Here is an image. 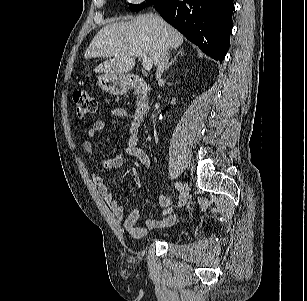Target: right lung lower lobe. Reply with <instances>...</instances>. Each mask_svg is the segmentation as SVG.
I'll list each match as a JSON object with an SVG mask.
<instances>
[{
  "label": "right lung lower lobe",
  "mask_w": 307,
  "mask_h": 301,
  "mask_svg": "<svg viewBox=\"0 0 307 301\" xmlns=\"http://www.w3.org/2000/svg\"><path fill=\"white\" fill-rule=\"evenodd\" d=\"M155 10L207 55L222 62L229 49L233 0H159Z\"/></svg>",
  "instance_id": "1"
}]
</instances>
